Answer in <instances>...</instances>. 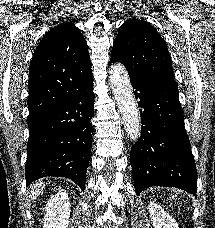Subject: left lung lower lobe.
Returning <instances> with one entry per match:
<instances>
[{"mask_svg": "<svg viewBox=\"0 0 215 228\" xmlns=\"http://www.w3.org/2000/svg\"><path fill=\"white\" fill-rule=\"evenodd\" d=\"M141 114V137L130 163L136 194L151 186L177 187L196 195L197 170L184 127L175 80L130 77Z\"/></svg>", "mask_w": 215, "mask_h": 228, "instance_id": "1", "label": "left lung lower lobe"}]
</instances>
